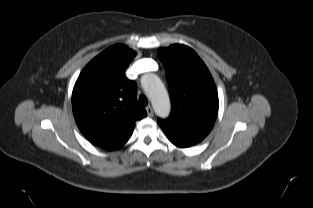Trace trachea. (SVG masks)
<instances>
[{"mask_svg":"<svg viewBox=\"0 0 313 208\" xmlns=\"http://www.w3.org/2000/svg\"><path fill=\"white\" fill-rule=\"evenodd\" d=\"M139 102L142 106H146L148 104V99L144 95L139 96Z\"/></svg>","mask_w":313,"mask_h":208,"instance_id":"3493384b","label":"trachea"}]
</instances>
